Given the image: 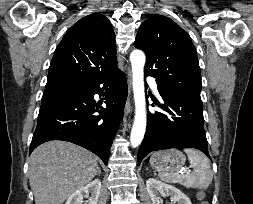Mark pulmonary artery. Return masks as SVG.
I'll list each match as a JSON object with an SVG mask.
<instances>
[{
	"label": "pulmonary artery",
	"mask_w": 253,
	"mask_h": 204,
	"mask_svg": "<svg viewBox=\"0 0 253 204\" xmlns=\"http://www.w3.org/2000/svg\"><path fill=\"white\" fill-rule=\"evenodd\" d=\"M147 83L153 88V90L155 91V93L158 94V90H157V85H156L155 79L152 78V77H148L147 78Z\"/></svg>",
	"instance_id": "pulmonary-artery-1"
}]
</instances>
